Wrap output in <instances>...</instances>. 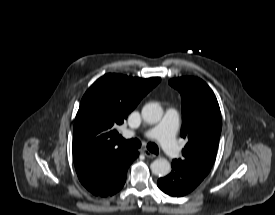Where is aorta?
Here are the masks:
<instances>
[{
    "label": "aorta",
    "mask_w": 275,
    "mask_h": 215,
    "mask_svg": "<svg viewBox=\"0 0 275 215\" xmlns=\"http://www.w3.org/2000/svg\"><path fill=\"white\" fill-rule=\"evenodd\" d=\"M141 114L145 122L155 124L161 120L163 116V110L158 103L151 102L144 105ZM151 170L153 174L159 177H163L170 173L171 165L167 159L158 158L152 162Z\"/></svg>",
    "instance_id": "aorta-1"
}]
</instances>
